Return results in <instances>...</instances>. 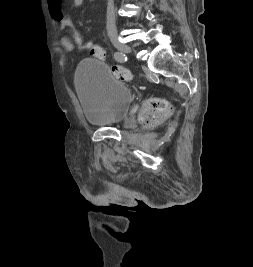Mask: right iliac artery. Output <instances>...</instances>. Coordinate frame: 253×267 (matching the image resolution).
I'll list each match as a JSON object with an SVG mask.
<instances>
[{"label":"right iliac artery","instance_id":"right-iliac-artery-1","mask_svg":"<svg viewBox=\"0 0 253 267\" xmlns=\"http://www.w3.org/2000/svg\"><path fill=\"white\" fill-rule=\"evenodd\" d=\"M114 58L116 61L121 62V63L127 61V57L122 52H115Z\"/></svg>","mask_w":253,"mask_h":267}]
</instances>
